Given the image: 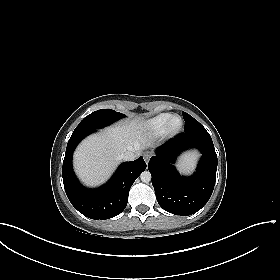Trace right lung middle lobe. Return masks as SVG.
<instances>
[{
  "instance_id": "1",
  "label": "right lung middle lobe",
  "mask_w": 280,
  "mask_h": 280,
  "mask_svg": "<svg viewBox=\"0 0 280 280\" xmlns=\"http://www.w3.org/2000/svg\"><path fill=\"white\" fill-rule=\"evenodd\" d=\"M125 115L111 109H101L86 116L75 128L72 135L83 132H93L103 128L116 120L124 118Z\"/></svg>"
}]
</instances>
